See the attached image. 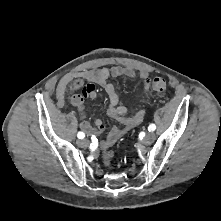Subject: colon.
<instances>
[{"label":"colon","instance_id":"5ec220e1","mask_svg":"<svg viewBox=\"0 0 221 221\" xmlns=\"http://www.w3.org/2000/svg\"><path fill=\"white\" fill-rule=\"evenodd\" d=\"M72 88H80L82 86V82L79 79H75L71 82ZM151 89L154 92L161 93L166 89V82L163 78L156 77L153 79L151 83ZM84 93V92H83ZM102 158L105 164H110L113 153L107 149L103 150Z\"/></svg>","mask_w":221,"mask_h":221}]
</instances>
